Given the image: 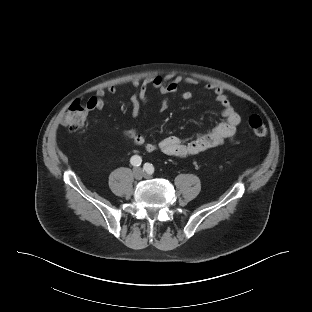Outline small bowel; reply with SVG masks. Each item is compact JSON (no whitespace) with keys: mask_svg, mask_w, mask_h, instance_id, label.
<instances>
[{"mask_svg":"<svg viewBox=\"0 0 312 312\" xmlns=\"http://www.w3.org/2000/svg\"><path fill=\"white\" fill-rule=\"evenodd\" d=\"M194 84L197 80L188 78L184 75L169 76L166 78L155 76L143 80H135L133 85L136 92L131 97L132 114L138 116L141 103H148V89L153 88L165 96L161 109L164 110L168 104V96L179 94L184 100H190L193 93L189 90H180L181 84ZM204 91L210 94L214 101L221 107L223 120L207 133L199 134L190 139L178 136H168L158 142H150L147 135L137 129H130L124 132V135L134 145L142 146L148 153L160 152L175 157H188L198 154L206 149L216 147L226 141L233 140L237 127L241 121L239 114L234 110L228 96L223 88L213 84L204 86ZM117 92L115 86L110 85L107 88H99L96 95L91 97L87 106L89 110H102L105 107L106 94L114 95Z\"/></svg>","mask_w":312,"mask_h":312,"instance_id":"small-bowel-1","label":"small bowel"}]
</instances>
